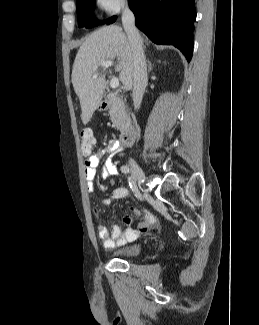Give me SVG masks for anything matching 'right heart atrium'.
I'll return each instance as SVG.
<instances>
[{
	"label": "right heart atrium",
	"instance_id": "d8ad5b80",
	"mask_svg": "<svg viewBox=\"0 0 259 325\" xmlns=\"http://www.w3.org/2000/svg\"><path fill=\"white\" fill-rule=\"evenodd\" d=\"M127 4V0H96L98 9L107 15L119 12Z\"/></svg>",
	"mask_w": 259,
	"mask_h": 325
}]
</instances>
